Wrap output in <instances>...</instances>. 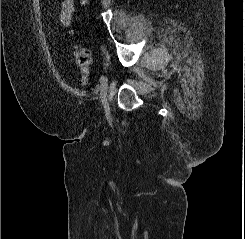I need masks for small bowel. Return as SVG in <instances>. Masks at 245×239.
I'll use <instances>...</instances> for the list:
<instances>
[{
  "instance_id": "c3829d8e",
  "label": "small bowel",
  "mask_w": 245,
  "mask_h": 239,
  "mask_svg": "<svg viewBox=\"0 0 245 239\" xmlns=\"http://www.w3.org/2000/svg\"><path fill=\"white\" fill-rule=\"evenodd\" d=\"M74 11V0H63L59 8V20L64 26L70 25Z\"/></svg>"
}]
</instances>
